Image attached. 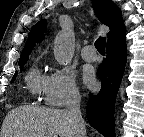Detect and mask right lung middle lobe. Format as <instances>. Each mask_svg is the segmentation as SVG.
Here are the masks:
<instances>
[{
    "label": "right lung middle lobe",
    "instance_id": "1",
    "mask_svg": "<svg viewBox=\"0 0 144 137\" xmlns=\"http://www.w3.org/2000/svg\"><path fill=\"white\" fill-rule=\"evenodd\" d=\"M26 62H22V63H19L20 66H23ZM17 76V73H15V75L13 76L12 78V82L14 81V79L16 78Z\"/></svg>",
    "mask_w": 144,
    "mask_h": 137
}]
</instances>
